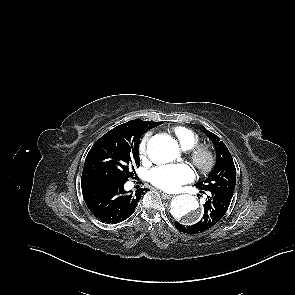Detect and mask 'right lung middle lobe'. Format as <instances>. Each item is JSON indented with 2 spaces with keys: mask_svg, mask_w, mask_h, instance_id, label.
<instances>
[{
  "mask_svg": "<svg viewBox=\"0 0 295 295\" xmlns=\"http://www.w3.org/2000/svg\"><path fill=\"white\" fill-rule=\"evenodd\" d=\"M160 124L139 123L124 130L107 132L90 149L84 163L82 182L106 180L125 183L133 178L134 167L140 165V137Z\"/></svg>",
  "mask_w": 295,
  "mask_h": 295,
  "instance_id": "right-lung-middle-lobe-1",
  "label": "right lung middle lobe"
}]
</instances>
